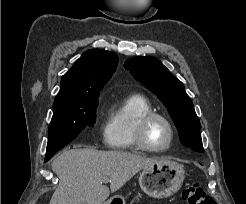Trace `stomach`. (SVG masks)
Segmentation results:
<instances>
[{
	"instance_id": "1",
	"label": "stomach",
	"mask_w": 246,
	"mask_h": 204,
	"mask_svg": "<svg viewBox=\"0 0 246 204\" xmlns=\"http://www.w3.org/2000/svg\"><path fill=\"white\" fill-rule=\"evenodd\" d=\"M184 168L181 164L170 160H159L142 170L139 185L148 196L166 198L175 194L182 186ZM104 204H125L120 195H115Z\"/></svg>"
}]
</instances>
